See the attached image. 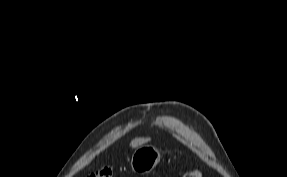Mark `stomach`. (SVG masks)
Masks as SVG:
<instances>
[{"label": "stomach", "mask_w": 287, "mask_h": 177, "mask_svg": "<svg viewBox=\"0 0 287 177\" xmlns=\"http://www.w3.org/2000/svg\"><path fill=\"white\" fill-rule=\"evenodd\" d=\"M160 151L152 145H142L135 149L131 158V168L135 173H149L160 162Z\"/></svg>", "instance_id": "obj_1"}]
</instances>
